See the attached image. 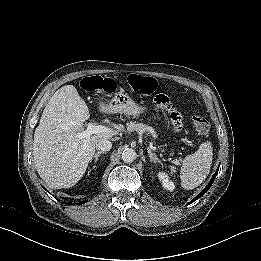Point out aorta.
I'll return each instance as SVG.
<instances>
[{"mask_svg": "<svg viewBox=\"0 0 261 261\" xmlns=\"http://www.w3.org/2000/svg\"><path fill=\"white\" fill-rule=\"evenodd\" d=\"M136 152L132 148H126L123 150L121 158L125 163H131L136 159Z\"/></svg>", "mask_w": 261, "mask_h": 261, "instance_id": "762f6f07", "label": "aorta"}]
</instances>
